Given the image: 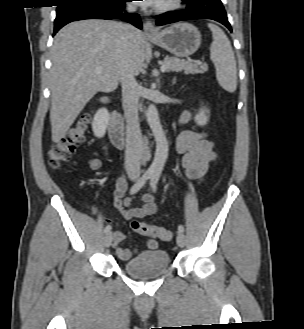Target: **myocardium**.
Returning <instances> with one entry per match:
<instances>
[{
  "label": "myocardium",
  "instance_id": "f54148a6",
  "mask_svg": "<svg viewBox=\"0 0 304 329\" xmlns=\"http://www.w3.org/2000/svg\"><path fill=\"white\" fill-rule=\"evenodd\" d=\"M183 0H164L155 7L157 13H168L179 9Z\"/></svg>",
  "mask_w": 304,
  "mask_h": 329
}]
</instances>
